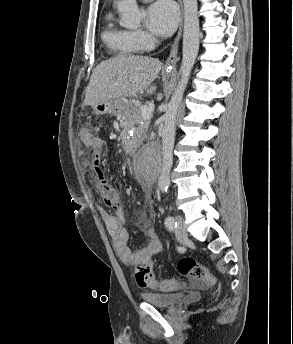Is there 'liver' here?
Instances as JSON below:
<instances>
[{
	"label": "liver",
	"mask_w": 293,
	"mask_h": 344,
	"mask_svg": "<svg viewBox=\"0 0 293 344\" xmlns=\"http://www.w3.org/2000/svg\"><path fill=\"white\" fill-rule=\"evenodd\" d=\"M162 68V63L148 56L119 55L101 62L92 72L85 90L84 104L95 106L110 100L133 97L151 86Z\"/></svg>",
	"instance_id": "1"
}]
</instances>
